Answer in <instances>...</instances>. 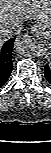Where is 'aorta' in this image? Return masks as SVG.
I'll return each mask as SVG.
<instances>
[{
	"instance_id": "1",
	"label": "aorta",
	"mask_w": 51,
	"mask_h": 153,
	"mask_svg": "<svg viewBox=\"0 0 51 153\" xmlns=\"http://www.w3.org/2000/svg\"><path fill=\"white\" fill-rule=\"evenodd\" d=\"M14 48L17 53L28 54L36 48V44L30 36L23 35L16 38Z\"/></svg>"
}]
</instances>
